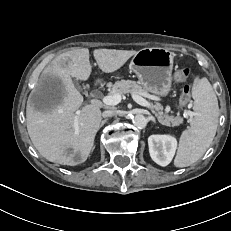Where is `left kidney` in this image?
I'll use <instances>...</instances> for the list:
<instances>
[{
	"mask_svg": "<svg viewBox=\"0 0 231 231\" xmlns=\"http://www.w3.org/2000/svg\"><path fill=\"white\" fill-rule=\"evenodd\" d=\"M148 146L152 160L160 166H167L175 155L177 140L170 135H151Z\"/></svg>",
	"mask_w": 231,
	"mask_h": 231,
	"instance_id": "1",
	"label": "left kidney"
}]
</instances>
